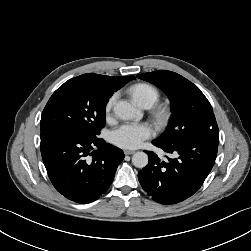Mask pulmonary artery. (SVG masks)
<instances>
[{"mask_svg":"<svg viewBox=\"0 0 251 251\" xmlns=\"http://www.w3.org/2000/svg\"><path fill=\"white\" fill-rule=\"evenodd\" d=\"M144 108H150V106H143Z\"/></svg>","mask_w":251,"mask_h":251,"instance_id":"1","label":"pulmonary artery"}]
</instances>
